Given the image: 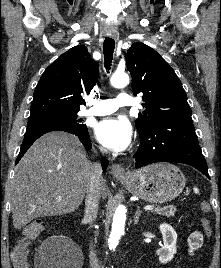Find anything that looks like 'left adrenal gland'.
Masks as SVG:
<instances>
[{
	"label": "left adrenal gland",
	"mask_w": 221,
	"mask_h": 268,
	"mask_svg": "<svg viewBox=\"0 0 221 268\" xmlns=\"http://www.w3.org/2000/svg\"><path fill=\"white\" fill-rule=\"evenodd\" d=\"M142 211L140 210L139 206H137V210L135 212V215L133 216L134 224H138L139 217L141 215Z\"/></svg>",
	"instance_id": "a2214340"
}]
</instances>
